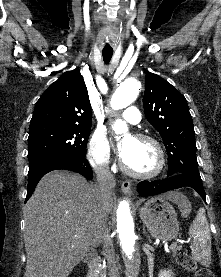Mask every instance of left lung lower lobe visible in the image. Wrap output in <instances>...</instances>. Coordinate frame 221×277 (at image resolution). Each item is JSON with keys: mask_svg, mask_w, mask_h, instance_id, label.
I'll list each match as a JSON object with an SVG mask.
<instances>
[{"mask_svg": "<svg viewBox=\"0 0 221 277\" xmlns=\"http://www.w3.org/2000/svg\"><path fill=\"white\" fill-rule=\"evenodd\" d=\"M181 187H191L195 189L206 202L205 191L203 189L201 178L192 177L185 174H176L169 176L166 179L152 182L142 181L138 184L137 190L142 197H147Z\"/></svg>", "mask_w": 221, "mask_h": 277, "instance_id": "left-lung-lower-lobe-1", "label": "left lung lower lobe"}]
</instances>
